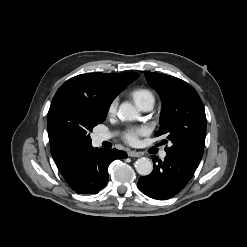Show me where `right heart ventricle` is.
Instances as JSON below:
<instances>
[{"label": "right heart ventricle", "mask_w": 247, "mask_h": 247, "mask_svg": "<svg viewBox=\"0 0 247 247\" xmlns=\"http://www.w3.org/2000/svg\"><path fill=\"white\" fill-rule=\"evenodd\" d=\"M131 97L139 108L148 103L153 105L155 100L153 93L149 89L143 87L133 89L131 91Z\"/></svg>", "instance_id": "1"}]
</instances>
